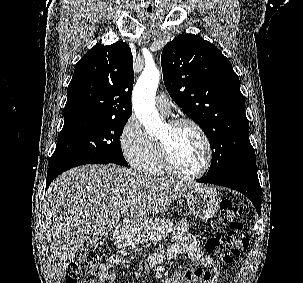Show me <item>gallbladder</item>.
I'll list each match as a JSON object with an SVG mask.
<instances>
[{
  "mask_svg": "<svg viewBox=\"0 0 303 283\" xmlns=\"http://www.w3.org/2000/svg\"><path fill=\"white\" fill-rule=\"evenodd\" d=\"M105 234H89L82 241V249L87 250L93 246H97L104 241Z\"/></svg>",
  "mask_w": 303,
  "mask_h": 283,
  "instance_id": "bac80fb5",
  "label": "gallbladder"
}]
</instances>
